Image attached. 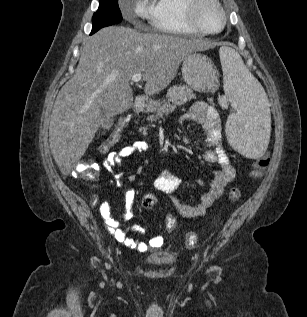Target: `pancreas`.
Wrapping results in <instances>:
<instances>
[{
  "mask_svg": "<svg viewBox=\"0 0 307 317\" xmlns=\"http://www.w3.org/2000/svg\"><path fill=\"white\" fill-rule=\"evenodd\" d=\"M167 101H163L161 104L157 105L154 109V114L147 117L150 122L156 121L159 117L172 113L177 106H180L191 99H195L196 96L193 90L186 85H174L170 87L166 94ZM142 134H147V128L143 127L141 129Z\"/></svg>",
  "mask_w": 307,
  "mask_h": 317,
  "instance_id": "obj_1",
  "label": "pancreas"
}]
</instances>
